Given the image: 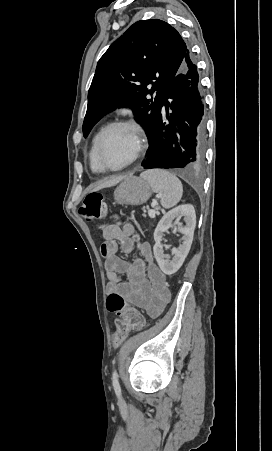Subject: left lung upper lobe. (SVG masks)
Returning <instances> with one entry per match:
<instances>
[{
  "mask_svg": "<svg viewBox=\"0 0 272 451\" xmlns=\"http://www.w3.org/2000/svg\"><path fill=\"white\" fill-rule=\"evenodd\" d=\"M186 52L180 34L162 20H142L131 25L98 61L88 92L84 137L116 105H128L136 121L147 126L146 135L151 140L162 100Z\"/></svg>",
  "mask_w": 272,
  "mask_h": 451,
  "instance_id": "obj_1",
  "label": "left lung upper lobe"
}]
</instances>
